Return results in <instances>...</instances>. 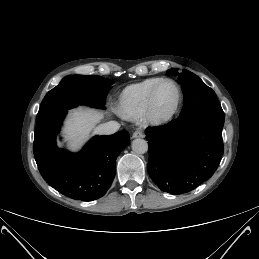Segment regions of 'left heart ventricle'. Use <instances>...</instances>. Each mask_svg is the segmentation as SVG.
<instances>
[{
    "instance_id": "left-heart-ventricle-1",
    "label": "left heart ventricle",
    "mask_w": 259,
    "mask_h": 259,
    "mask_svg": "<svg viewBox=\"0 0 259 259\" xmlns=\"http://www.w3.org/2000/svg\"><path fill=\"white\" fill-rule=\"evenodd\" d=\"M177 93L171 83H163L156 94V109L161 113L169 112L175 105Z\"/></svg>"
}]
</instances>
